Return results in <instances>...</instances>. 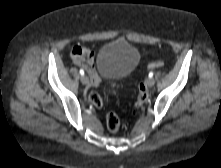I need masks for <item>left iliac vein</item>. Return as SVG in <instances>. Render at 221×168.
I'll return each mask as SVG.
<instances>
[{
  "label": "left iliac vein",
  "instance_id": "obj_1",
  "mask_svg": "<svg viewBox=\"0 0 221 168\" xmlns=\"http://www.w3.org/2000/svg\"><path fill=\"white\" fill-rule=\"evenodd\" d=\"M146 84L148 87H152L154 86L155 84V80L153 78H149L147 81H146Z\"/></svg>",
  "mask_w": 221,
  "mask_h": 168
}]
</instances>
